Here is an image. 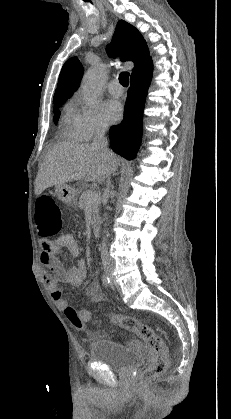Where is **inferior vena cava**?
I'll list each match as a JSON object with an SVG mask.
<instances>
[{"instance_id": "1", "label": "inferior vena cava", "mask_w": 231, "mask_h": 419, "mask_svg": "<svg viewBox=\"0 0 231 419\" xmlns=\"http://www.w3.org/2000/svg\"><path fill=\"white\" fill-rule=\"evenodd\" d=\"M107 130V126L106 125H101L95 133L94 139H93V143H92V147L94 149H97L99 151L102 152V154L109 160L114 158V154L112 151H110L108 149V141L105 137V132ZM112 187L111 185V181H110V176H108L107 178V185H106V190H105V194L108 198V196L111 194L110 188ZM106 237H103L102 240V245L100 248V252H101V259H102V263L104 266H110L111 264V259L109 257V253H108V249H107V244H106Z\"/></svg>"}]
</instances>
